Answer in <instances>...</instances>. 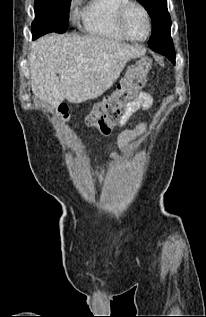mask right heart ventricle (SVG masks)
<instances>
[{"instance_id": "e07e8e85", "label": "right heart ventricle", "mask_w": 206, "mask_h": 317, "mask_svg": "<svg viewBox=\"0 0 206 317\" xmlns=\"http://www.w3.org/2000/svg\"><path fill=\"white\" fill-rule=\"evenodd\" d=\"M127 0H88L78 11L86 33L121 42L126 38L118 31L116 15Z\"/></svg>"}]
</instances>
